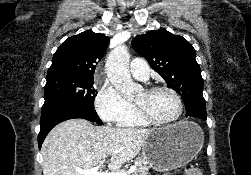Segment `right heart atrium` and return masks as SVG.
I'll use <instances>...</instances> for the list:
<instances>
[{
  "mask_svg": "<svg viewBox=\"0 0 251 175\" xmlns=\"http://www.w3.org/2000/svg\"><path fill=\"white\" fill-rule=\"evenodd\" d=\"M94 107L104 122L112 124H121L136 112L134 106L109 82L101 85L95 97Z\"/></svg>",
  "mask_w": 251,
  "mask_h": 175,
  "instance_id": "right-heart-atrium-1",
  "label": "right heart atrium"
}]
</instances>
